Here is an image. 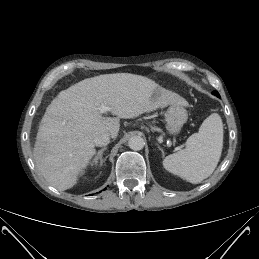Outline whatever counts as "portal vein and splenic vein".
Segmentation results:
<instances>
[{
    "label": "portal vein and splenic vein",
    "mask_w": 259,
    "mask_h": 259,
    "mask_svg": "<svg viewBox=\"0 0 259 259\" xmlns=\"http://www.w3.org/2000/svg\"><path fill=\"white\" fill-rule=\"evenodd\" d=\"M107 111H110V108L104 104L101 105L100 112L103 114V113H106Z\"/></svg>",
    "instance_id": "obj_1"
}]
</instances>
